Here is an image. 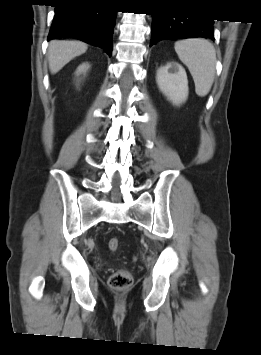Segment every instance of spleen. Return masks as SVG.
Here are the masks:
<instances>
[{
    "instance_id": "1",
    "label": "spleen",
    "mask_w": 261,
    "mask_h": 355,
    "mask_svg": "<svg viewBox=\"0 0 261 355\" xmlns=\"http://www.w3.org/2000/svg\"><path fill=\"white\" fill-rule=\"evenodd\" d=\"M179 59L188 67L198 96H206L215 76L216 52L214 46L205 39H186L175 43Z\"/></svg>"
}]
</instances>
